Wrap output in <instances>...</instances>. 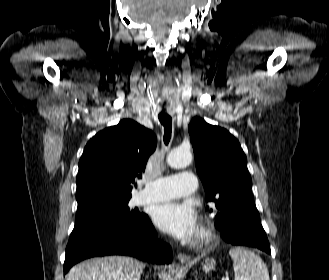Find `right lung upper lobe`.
Masks as SVG:
<instances>
[{
  "instance_id": "right-lung-upper-lobe-1",
  "label": "right lung upper lobe",
  "mask_w": 329,
  "mask_h": 280,
  "mask_svg": "<svg viewBox=\"0 0 329 280\" xmlns=\"http://www.w3.org/2000/svg\"><path fill=\"white\" fill-rule=\"evenodd\" d=\"M156 142L151 130L130 119L97 133L79 161L76 199L92 195L131 198L135 179L142 176Z\"/></svg>"
}]
</instances>
